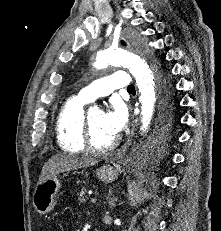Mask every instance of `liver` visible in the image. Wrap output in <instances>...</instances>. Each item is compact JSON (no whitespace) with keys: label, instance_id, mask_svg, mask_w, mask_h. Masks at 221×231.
Wrapping results in <instances>:
<instances>
[{"label":"liver","instance_id":"1","mask_svg":"<svg viewBox=\"0 0 221 231\" xmlns=\"http://www.w3.org/2000/svg\"><path fill=\"white\" fill-rule=\"evenodd\" d=\"M97 162L98 161L93 158L79 157L72 154L55 155L43 166L38 183L57 175L60 172L95 165Z\"/></svg>","mask_w":221,"mask_h":231}]
</instances>
